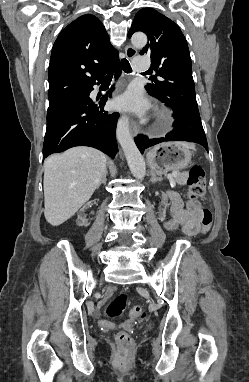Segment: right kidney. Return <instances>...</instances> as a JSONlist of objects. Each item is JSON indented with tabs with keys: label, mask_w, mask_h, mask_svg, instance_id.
Returning <instances> with one entry per match:
<instances>
[{
	"label": "right kidney",
	"mask_w": 249,
	"mask_h": 382,
	"mask_svg": "<svg viewBox=\"0 0 249 382\" xmlns=\"http://www.w3.org/2000/svg\"><path fill=\"white\" fill-rule=\"evenodd\" d=\"M96 199L95 198H90L89 201L86 202V204H82V209L80 210V213L78 215V220L77 223L80 226H88L89 225V220L86 218V215L84 214V211H86L87 214H92L93 213V208L95 207L96 204Z\"/></svg>",
	"instance_id": "obj_1"
}]
</instances>
